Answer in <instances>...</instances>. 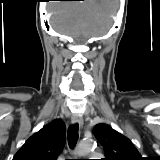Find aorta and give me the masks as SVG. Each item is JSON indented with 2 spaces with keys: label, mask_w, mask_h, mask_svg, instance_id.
Here are the masks:
<instances>
[{
  "label": "aorta",
  "mask_w": 160,
  "mask_h": 160,
  "mask_svg": "<svg viewBox=\"0 0 160 160\" xmlns=\"http://www.w3.org/2000/svg\"><path fill=\"white\" fill-rule=\"evenodd\" d=\"M93 147H94L93 140H84L79 144L77 153L79 155H85L88 152H90L93 149Z\"/></svg>",
  "instance_id": "762f6f07"
}]
</instances>
